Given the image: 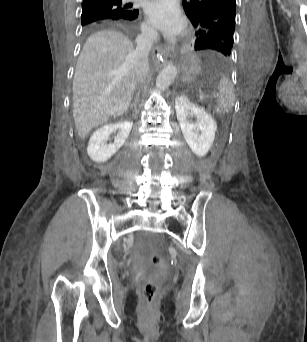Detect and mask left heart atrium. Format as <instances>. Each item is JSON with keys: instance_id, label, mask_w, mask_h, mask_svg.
Instances as JSON below:
<instances>
[{"instance_id": "obj_1", "label": "left heart atrium", "mask_w": 307, "mask_h": 342, "mask_svg": "<svg viewBox=\"0 0 307 342\" xmlns=\"http://www.w3.org/2000/svg\"><path fill=\"white\" fill-rule=\"evenodd\" d=\"M147 23L156 34L169 40L177 39L186 32L185 21L172 1H154L145 9Z\"/></svg>"}]
</instances>
